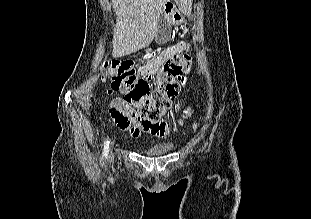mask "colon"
<instances>
[{"mask_svg": "<svg viewBox=\"0 0 311 219\" xmlns=\"http://www.w3.org/2000/svg\"><path fill=\"white\" fill-rule=\"evenodd\" d=\"M191 67V57L174 55L162 64L157 75L139 76L131 60L113 59L103 66V78L110 81L111 92L123 94V100L114 99L116 103L136 106L143 118L155 122L171 106L180 88L186 84L185 75Z\"/></svg>", "mask_w": 311, "mask_h": 219, "instance_id": "obj_1", "label": "colon"}]
</instances>
